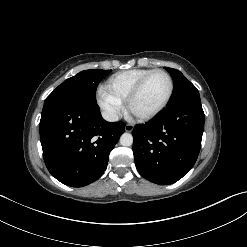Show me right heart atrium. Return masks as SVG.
<instances>
[{"label": "right heart atrium", "mask_w": 247, "mask_h": 247, "mask_svg": "<svg viewBox=\"0 0 247 247\" xmlns=\"http://www.w3.org/2000/svg\"><path fill=\"white\" fill-rule=\"evenodd\" d=\"M97 100L100 108L111 120H116L123 111V103L113 96L106 88L99 89Z\"/></svg>", "instance_id": "1"}]
</instances>
